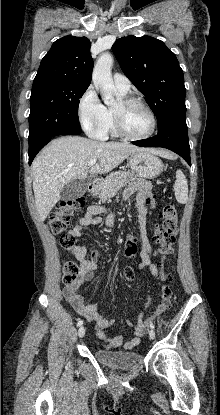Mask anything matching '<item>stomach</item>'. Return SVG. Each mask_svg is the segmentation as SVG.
Here are the masks:
<instances>
[{
  "label": "stomach",
  "instance_id": "1",
  "mask_svg": "<svg viewBox=\"0 0 220 415\" xmlns=\"http://www.w3.org/2000/svg\"><path fill=\"white\" fill-rule=\"evenodd\" d=\"M130 168L140 177L153 179L163 171L162 161L148 151L133 153L129 158ZM99 192V185L92 187L91 193L96 195Z\"/></svg>",
  "mask_w": 220,
  "mask_h": 415
}]
</instances>
